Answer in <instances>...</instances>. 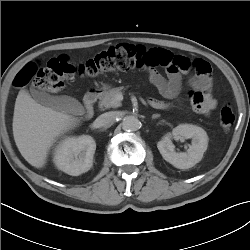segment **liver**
<instances>
[{
    "mask_svg": "<svg viewBox=\"0 0 250 250\" xmlns=\"http://www.w3.org/2000/svg\"><path fill=\"white\" fill-rule=\"evenodd\" d=\"M80 122L78 118L39 104L26 90L18 93L13 117L14 140L24 159L36 168L46 164L56 139Z\"/></svg>",
    "mask_w": 250,
    "mask_h": 250,
    "instance_id": "6515ba94",
    "label": "liver"
}]
</instances>
